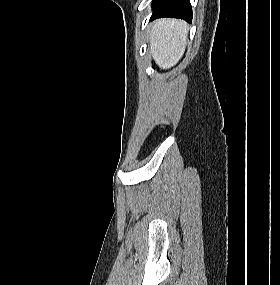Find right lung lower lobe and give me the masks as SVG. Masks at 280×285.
Here are the masks:
<instances>
[{"mask_svg":"<svg viewBox=\"0 0 280 285\" xmlns=\"http://www.w3.org/2000/svg\"><path fill=\"white\" fill-rule=\"evenodd\" d=\"M151 20L161 17L181 18L192 22L189 0H154Z\"/></svg>","mask_w":280,"mask_h":285,"instance_id":"right-lung-lower-lobe-1","label":"right lung lower lobe"}]
</instances>
